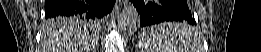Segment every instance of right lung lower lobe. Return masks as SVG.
Masks as SVG:
<instances>
[{
	"mask_svg": "<svg viewBox=\"0 0 261 52\" xmlns=\"http://www.w3.org/2000/svg\"><path fill=\"white\" fill-rule=\"evenodd\" d=\"M115 0H45V16H85L99 20L107 15Z\"/></svg>",
	"mask_w": 261,
	"mask_h": 52,
	"instance_id": "1",
	"label": "right lung lower lobe"
}]
</instances>
